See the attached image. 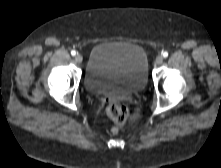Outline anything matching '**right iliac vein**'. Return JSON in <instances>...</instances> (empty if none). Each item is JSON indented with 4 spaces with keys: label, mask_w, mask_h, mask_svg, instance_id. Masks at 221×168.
Segmentation results:
<instances>
[{
    "label": "right iliac vein",
    "mask_w": 221,
    "mask_h": 168,
    "mask_svg": "<svg viewBox=\"0 0 221 168\" xmlns=\"http://www.w3.org/2000/svg\"><path fill=\"white\" fill-rule=\"evenodd\" d=\"M82 60H83V57H82L80 54H77V55L75 56V61H76L77 63H81Z\"/></svg>",
    "instance_id": "63e3f726"
}]
</instances>
